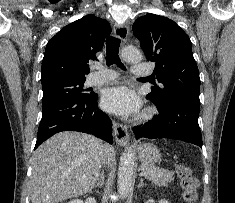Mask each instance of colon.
<instances>
[{"mask_svg": "<svg viewBox=\"0 0 235 203\" xmlns=\"http://www.w3.org/2000/svg\"><path fill=\"white\" fill-rule=\"evenodd\" d=\"M176 172L180 181L181 196L185 203H196L198 200V181L192 170L185 164L178 163Z\"/></svg>", "mask_w": 235, "mask_h": 203, "instance_id": "1", "label": "colon"}]
</instances>
